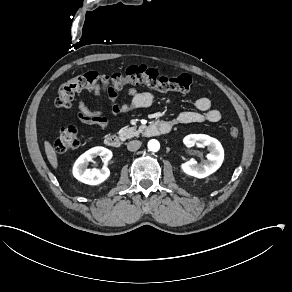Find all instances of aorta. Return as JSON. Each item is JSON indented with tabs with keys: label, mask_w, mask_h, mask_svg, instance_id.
Listing matches in <instances>:
<instances>
[{
	"label": "aorta",
	"mask_w": 292,
	"mask_h": 292,
	"mask_svg": "<svg viewBox=\"0 0 292 292\" xmlns=\"http://www.w3.org/2000/svg\"><path fill=\"white\" fill-rule=\"evenodd\" d=\"M159 148H160V143L157 140L152 139L148 142V149L150 151L156 152L159 150Z\"/></svg>",
	"instance_id": "1"
}]
</instances>
